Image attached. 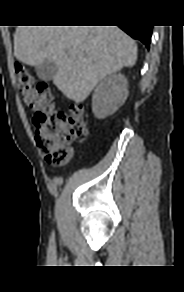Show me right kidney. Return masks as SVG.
<instances>
[{"label":"right kidney","instance_id":"obj_1","mask_svg":"<svg viewBox=\"0 0 184 292\" xmlns=\"http://www.w3.org/2000/svg\"><path fill=\"white\" fill-rule=\"evenodd\" d=\"M128 96V82L121 73L112 74L100 81L92 96V111L103 119L113 114Z\"/></svg>","mask_w":184,"mask_h":292}]
</instances>
